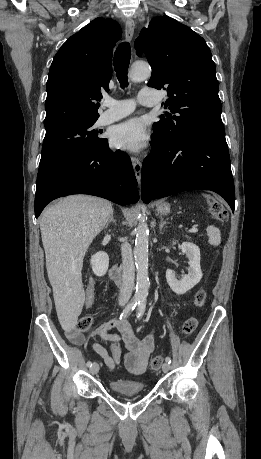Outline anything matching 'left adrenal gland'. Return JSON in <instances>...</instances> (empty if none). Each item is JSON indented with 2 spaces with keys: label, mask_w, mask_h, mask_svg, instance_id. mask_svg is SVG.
<instances>
[{
  "label": "left adrenal gland",
  "mask_w": 261,
  "mask_h": 459,
  "mask_svg": "<svg viewBox=\"0 0 261 459\" xmlns=\"http://www.w3.org/2000/svg\"><path fill=\"white\" fill-rule=\"evenodd\" d=\"M169 224V222L165 221L163 217H160V225H159V230L161 231L164 227V225Z\"/></svg>",
  "instance_id": "1"
}]
</instances>
